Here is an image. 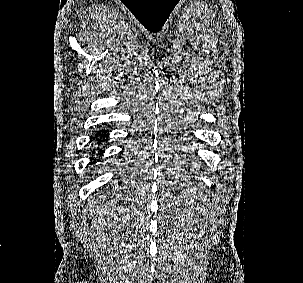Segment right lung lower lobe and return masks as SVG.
Returning a JSON list of instances; mask_svg holds the SVG:
<instances>
[{
    "label": "right lung lower lobe",
    "mask_w": 303,
    "mask_h": 283,
    "mask_svg": "<svg viewBox=\"0 0 303 283\" xmlns=\"http://www.w3.org/2000/svg\"><path fill=\"white\" fill-rule=\"evenodd\" d=\"M102 132H103V134L100 135L99 139H97V140H98V143L103 142L104 139H105V132H104V131H102ZM97 161H100V160H97Z\"/></svg>",
    "instance_id": "right-lung-lower-lobe-1"
}]
</instances>
